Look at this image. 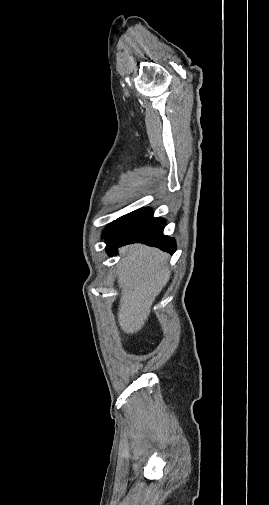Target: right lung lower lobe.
<instances>
[{"label":"right lung lower lobe","instance_id":"obj_1","mask_svg":"<svg viewBox=\"0 0 269 505\" xmlns=\"http://www.w3.org/2000/svg\"><path fill=\"white\" fill-rule=\"evenodd\" d=\"M164 225V219L154 218L147 207L126 214L114 221L107 231L106 252L112 256L118 247L140 242L173 254L176 242L163 234Z\"/></svg>","mask_w":269,"mask_h":505}]
</instances>
